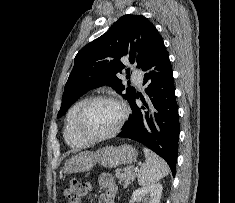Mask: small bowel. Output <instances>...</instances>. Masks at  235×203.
Masks as SVG:
<instances>
[{
  "mask_svg": "<svg viewBox=\"0 0 235 203\" xmlns=\"http://www.w3.org/2000/svg\"><path fill=\"white\" fill-rule=\"evenodd\" d=\"M98 182L103 189L98 203H115L117 186L114 178L110 174H101L98 178Z\"/></svg>",
  "mask_w": 235,
  "mask_h": 203,
  "instance_id": "1",
  "label": "small bowel"
}]
</instances>
